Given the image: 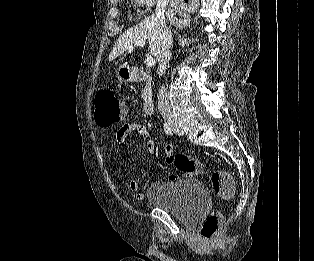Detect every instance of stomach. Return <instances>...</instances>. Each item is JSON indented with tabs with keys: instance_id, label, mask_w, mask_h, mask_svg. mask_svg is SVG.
<instances>
[{
	"instance_id": "obj_1",
	"label": "stomach",
	"mask_w": 314,
	"mask_h": 261,
	"mask_svg": "<svg viewBox=\"0 0 314 261\" xmlns=\"http://www.w3.org/2000/svg\"><path fill=\"white\" fill-rule=\"evenodd\" d=\"M117 77L124 83L133 82L136 79L134 69L128 66L119 67L117 70Z\"/></svg>"
}]
</instances>
